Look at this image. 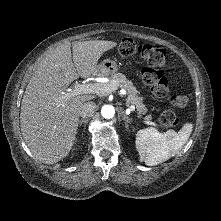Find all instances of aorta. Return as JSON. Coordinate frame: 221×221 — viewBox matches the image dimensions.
<instances>
[{
  "mask_svg": "<svg viewBox=\"0 0 221 221\" xmlns=\"http://www.w3.org/2000/svg\"><path fill=\"white\" fill-rule=\"evenodd\" d=\"M101 114L104 118L111 119L115 114V109L111 105H104L101 109Z\"/></svg>",
  "mask_w": 221,
  "mask_h": 221,
  "instance_id": "762f6f07",
  "label": "aorta"
}]
</instances>
